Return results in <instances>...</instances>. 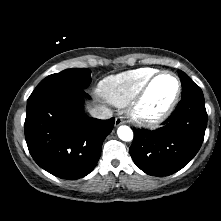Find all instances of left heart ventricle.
Instances as JSON below:
<instances>
[{"label":"left heart ventricle","mask_w":221,"mask_h":221,"mask_svg":"<svg viewBox=\"0 0 221 221\" xmlns=\"http://www.w3.org/2000/svg\"><path fill=\"white\" fill-rule=\"evenodd\" d=\"M176 92V81L169 75L160 76L152 85L144 103L147 113H157L165 108Z\"/></svg>","instance_id":"obj_1"}]
</instances>
